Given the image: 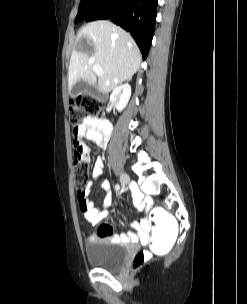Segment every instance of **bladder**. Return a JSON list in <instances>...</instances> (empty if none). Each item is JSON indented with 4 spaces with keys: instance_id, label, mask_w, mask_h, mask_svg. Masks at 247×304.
Segmentation results:
<instances>
[{
    "instance_id": "1",
    "label": "bladder",
    "mask_w": 247,
    "mask_h": 304,
    "mask_svg": "<svg viewBox=\"0 0 247 304\" xmlns=\"http://www.w3.org/2000/svg\"><path fill=\"white\" fill-rule=\"evenodd\" d=\"M85 252L91 266L116 271L122 267L127 257L128 246L113 240L101 239L87 245Z\"/></svg>"
}]
</instances>
